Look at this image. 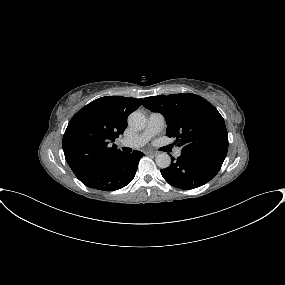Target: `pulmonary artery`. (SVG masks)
<instances>
[{
  "label": "pulmonary artery",
  "mask_w": 285,
  "mask_h": 285,
  "mask_svg": "<svg viewBox=\"0 0 285 285\" xmlns=\"http://www.w3.org/2000/svg\"><path fill=\"white\" fill-rule=\"evenodd\" d=\"M166 124L165 118L161 113H151L148 118L147 126L140 133L132 136L125 137L120 141L122 146L137 148L144 146L152 137L158 135L164 129ZM177 151L176 155H179Z\"/></svg>",
  "instance_id": "obj_1"
}]
</instances>
